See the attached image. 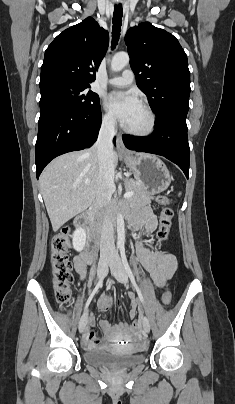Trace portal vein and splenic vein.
Listing matches in <instances>:
<instances>
[{
    "label": "portal vein and splenic vein",
    "instance_id": "18ae733b",
    "mask_svg": "<svg viewBox=\"0 0 235 404\" xmlns=\"http://www.w3.org/2000/svg\"><path fill=\"white\" fill-rule=\"evenodd\" d=\"M85 184H89V182H85ZM134 195V193L133 192H126L125 194H124V198H130V197H132Z\"/></svg>",
    "mask_w": 235,
    "mask_h": 404
}]
</instances>
